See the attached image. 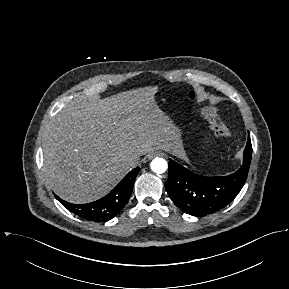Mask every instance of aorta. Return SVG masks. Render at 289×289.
I'll list each match as a JSON object with an SVG mask.
<instances>
[{
    "label": "aorta",
    "instance_id": "1",
    "mask_svg": "<svg viewBox=\"0 0 289 289\" xmlns=\"http://www.w3.org/2000/svg\"><path fill=\"white\" fill-rule=\"evenodd\" d=\"M151 170L157 174L164 173L168 168V163L165 159L156 157L151 161Z\"/></svg>",
    "mask_w": 289,
    "mask_h": 289
}]
</instances>
